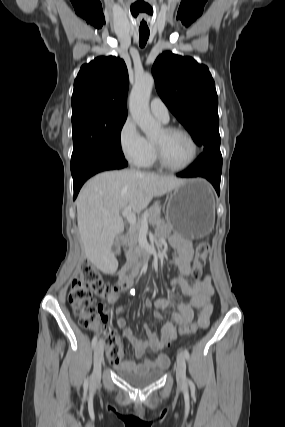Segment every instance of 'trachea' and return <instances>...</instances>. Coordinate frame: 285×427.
Returning <instances> with one entry per match:
<instances>
[{"label": "trachea", "mask_w": 285, "mask_h": 427, "mask_svg": "<svg viewBox=\"0 0 285 427\" xmlns=\"http://www.w3.org/2000/svg\"><path fill=\"white\" fill-rule=\"evenodd\" d=\"M149 31H139V36H140V40H139V45L140 47H144L146 45V42L149 38Z\"/></svg>", "instance_id": "1"}]
</instances>
